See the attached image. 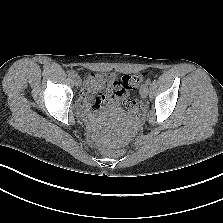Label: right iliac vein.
<instances>
[{
	"label": "right iliac vein",
	"mask_w": 223,
	"mask_h": 223,
	"mask_svg": "<svg viewBox=\"0 0 223 223\" xmlns=\"http://www.w3.org/2000/svg\"><path fill=\"white\" fill-rule=\"evenodd\" d=\"M74 82H75V85H76L77 87H80L81 84H82V80H81V78H80L79 76H77V75L74 76Z\"/></svg>",
	"instance_id": "right-iliac-vein-1"
}]
</instances>
